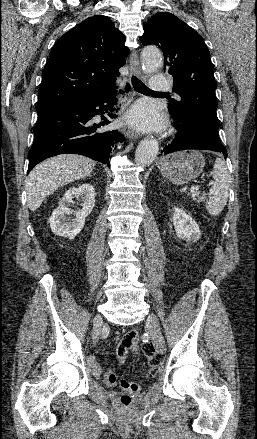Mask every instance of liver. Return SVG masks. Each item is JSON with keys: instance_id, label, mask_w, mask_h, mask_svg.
Returning <instances> with one entry per match:
<instances>
[{"instance_id": "1", "label": "liver", "mask_w": 257, "mask_h": 439, "mask_svg": "<svg viewBox=\"0 0 257 439\" xmlns=\"http://www.w3.org/2000/svg\"><path fill=\"white\" fill-rule=\"evenodd\" d=\"M94 165L91 159L76 154L58 155L37 165L27 178L29 209L37 210L59 187L89 176Z\"/></svg>"}]
</instances>
